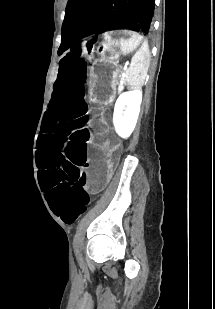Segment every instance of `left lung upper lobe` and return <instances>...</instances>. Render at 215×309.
<instances>
[{
    "label": "left lung upper lobe",
    "instance_id": "5c2ea615",
    "mask_svg": "<svg viewBox=\"0 0 215 309\" xmlns=\"http://www.w3.org/2000/svg\"><path fill=\"white\" fill-rule=\"evenodd\" d=\"M154 0H68L59 53L99 32L129 28L148 34Z\"/></svg>",
    "mask_w": 215,
    "mask_h": 309
}]
</instances>
